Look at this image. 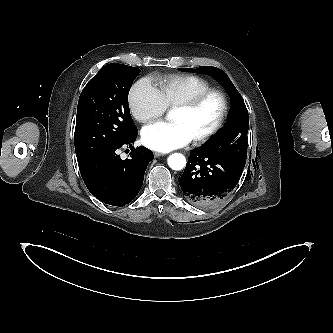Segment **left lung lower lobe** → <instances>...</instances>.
I'll return each instance as SVG.
<instances>
[{"instance_id":"1","label":"left lung lower lobe","mask_w":333,"mask_h":333,"mask_svg":"<svg viewBox=\"0 0 333 333\" xmlns=\"http://www.w3.org/2000/svg\"><path fill=\"white\" fill-rule=\"evenodd\" d=\"M243 168L202 147L194 150L178 179L185 198L203 208L213 207L236 187Z\"/></svg>"}]
</instances>
